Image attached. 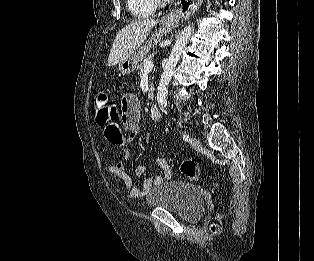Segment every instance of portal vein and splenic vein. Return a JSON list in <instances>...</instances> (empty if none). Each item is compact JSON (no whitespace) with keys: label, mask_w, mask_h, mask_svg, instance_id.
<instances>
[{"label":"portal vein and splenic vein","mask_w":314,"mask_h":261,"mask_svg":"<svg viewBox=\"0 0 314 261\" xmlns=\"http://www.w3.org/2000/svg\"><path fill=\"white\" fill-rule=\"evenodd\" d=\"M153 67H154L153 62H152V61H147V62L144 64V71H145V72H150V71H152Z\"/></svg>","instance_id":"1"}]
</instances>
